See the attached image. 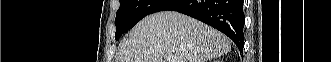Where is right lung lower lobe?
I'll return each instance as SVG.
<instances>
[{"label": "right lung lower lobe", "mask_w": 331, "mask_h": 62, "mask_svg": "<svg viewBox=\"0 0 331 62\" xmlns=\"http://www.w3.org/2000/svg\"><path fill=\"white\" fill-rule=\"evenodd\" d=\"M164 10L189 15L216 28L231 38L240 52L243 50V0H176Z\"/></svg>", "instance_id": "right-lung-lower-lobe-1"}]
</instances>
